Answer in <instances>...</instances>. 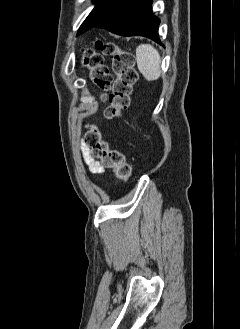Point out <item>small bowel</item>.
<instances>
[{
    "instance_id": "c3829d8e",
    "label": "small bowel",
    "mask_w": 240,
    "mask_h": 329,
    "mask_svg": "<svg viewBox=\"0 0 240 329\" xmlns=\"http://www.w3.org/2000/svg\"><path fill=\"white\" fill-rule=\"evenodd\" d=\"M81 149L84 161L89 167V170L94 174L102 173L104 171L103 166L90 155L89 148L85 144H82Z\"/></svg>"
}]
</instances>
